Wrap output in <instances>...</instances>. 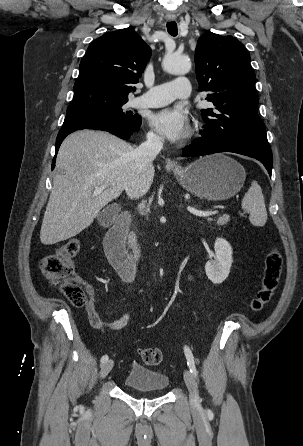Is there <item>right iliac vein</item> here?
Instances as JSON below:
<instances>
[{
    "instance_id": "63e3f726",
    "label": "right iliac vein",
    "mask_w": 303,
    "mask_h": 446,
    "mask_svg": "<svg viewBox=\"0 0 303 446\" xmlns=\"http://www.w3.org/2000/svg\"><path fill=\"white\" fill-rule=\"evenodd\" d=\"M114 365L113 360H108L107 362H105L104 364L101 365V370H100V378H105L109 372L112 370Z\"/></svg>"
}]
</instances>
